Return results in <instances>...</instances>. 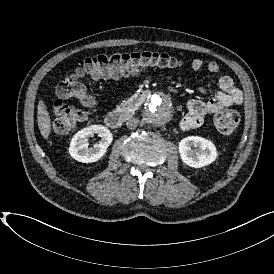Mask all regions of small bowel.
Listing matches in <instances>:
<instances>
[{"label": "small bowel", "mask_w": 274, "mask_h": 274, "mask_svg": "<svg viewBox=\"0 0 274 274\" xmlns=\"http://www.w3.org/2000/svg\"><path fill=\"white\" fill-rule=\"evenodd\" d=\"M204 62L199 59L191 61V69L199 72L204 68ZM210 73H218L220 66L215 61H210L206 65ZM117 79V76L114 77ZM220 91L207 101L198 99L190 100L186 105V114L181 121V128L185 131L198 128L203 125L205 119L224 107L241 104L243 101L242 91L235 85L233 79L229 76H222L219 79ZM201 93H207L204 87L199 88Z\"/></svg>", "instance_id": "small-bowel-1"}]
</instances>
